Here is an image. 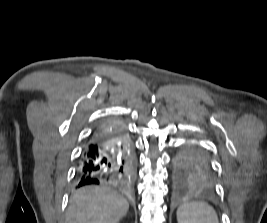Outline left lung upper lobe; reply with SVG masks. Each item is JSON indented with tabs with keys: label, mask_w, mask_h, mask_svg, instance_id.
Segmentation results:
<instances>
[{
	"label": "left lung upper lobe",
	"mask_w": 267,
	"mask_h": 223,
	"mask_svg": "<svg viewBox=\"0 0 267 223\" xmlns=\"http://www.w3.org/2000/svg\"><path fill=\"white\" fill-rule=\"evenodd\" d=\"M177 171H210V167L204 155L185 149L178 158Z\"/></svg>",
	"instance_id": "obj_1"
}]
</instances>
